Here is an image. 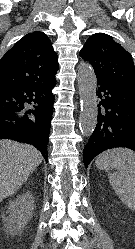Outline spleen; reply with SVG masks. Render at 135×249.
<instances>
[{
  "label": "spleen",
  "mask_w": 135,
  "mask_h": 249,
  "mask_svg": "<svg viewBox=\"0 0 135 249\" xmlns=\"http://www.w3.org/2000/svg\"><path fill=\"white\" fill-rule=\"evenodd\" d=\"M110 164L116 172L109 173V181L121 199L132 211H135V152L125 148H116L101 154L96 165Z\"/></svg>",
  "instance_id": "3e777b00"
}]
</instances>
